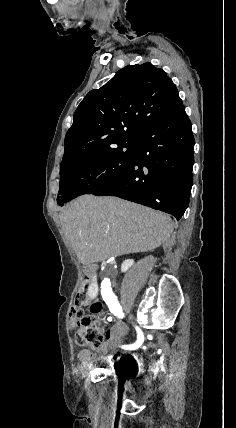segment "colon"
I'll use <instances>...</instances> for the list:
<instances>
[{"mask_svg": "<svg viewBox=\"0 0 236 428\" xmlns=\"http://www.w3.org/2000/svg\"><path fill=\"white\" fill-rule=\"evenodd\" d=\"M88 286L89 278L85 276L78 286L75 304L69 314L70 328L75 329L77 345L97 350L100 348L104 337L102 323L98 318L101 304L98 302L89 303ZM84 308L89 310V315L84 313Z\"/></svg>", "mask_w": 236, "mask_h": 428, "instance_id": "1", "label": "colon"}]
</instances>
